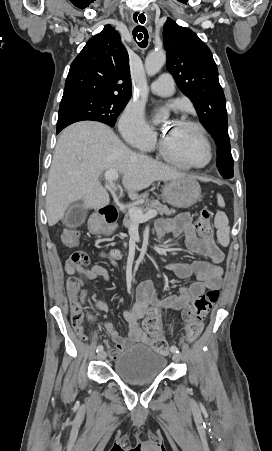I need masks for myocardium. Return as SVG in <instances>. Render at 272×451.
<instances>
[{"label": "myocardium", "instance_id": "1", "mask_svg": "<svg viewBox=\"0 0 272 451\" xmlns=\"http://www.w3.org/2000/svg\"><path fill=\"white\" fill-rule=\"evenodd\" d=\"M176 121L192 128L196 131V133L200 139V142L204 148V151L206 153V160L204 163L199 164V165L186 163V168L189 170H202V169L208 167L213 160V153H212L211 145L205 135V132H204V129L202 128V126L200 124H198L194 121L188 120L186 118H178V119H176ZM161 150L164 155H166V156L169 155L170 148H169V145L167 143L165 136H162V139H161ZM171 160H172V162H174L176 164L181 161L180 158L175 154L171 156Z\"/></svg>", "mask_w": 272, "mask_h": 451}]
</instances>
